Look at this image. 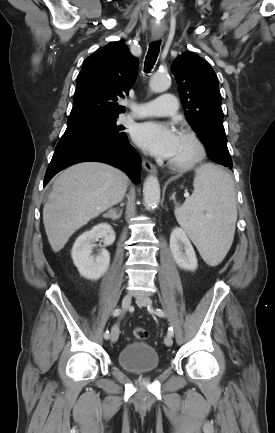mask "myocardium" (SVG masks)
Returning a JSON list of instances; mask_svg holds the SVG:
<instances>
[{"instance_id":"obj_1","label":"myocardium","mask_w":275,"mask_h":433,"mask_svg":"<svg viewBox=\"0 0 275 433\" xmlns=\"http://www.w3.org/2000/svg\"><path fill=\"white\" fill-rule=\"evenodd\" d=\"M181 134L188 137L194 143L196 149L195 155L192 159L184 163L169 160L168 165L176 171L187 172L194 169L202 162L206 155V147L201 137L194 130L184 128L181 130Z\"/></svg>"}]
</instances>
